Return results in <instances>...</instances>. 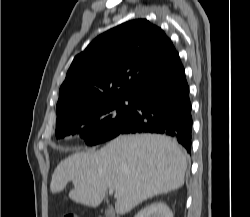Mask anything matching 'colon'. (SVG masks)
<instances>
[{
    "mask_svg": "<svg viewBox=\"0 0 250 217\" xmlns=\"http://www.w3.org/2000/svg\"><path fill=\"white\" fill-rule=\"evenodd\" d=\"M63 217H76V215H74L72 213H66V214H64Z\"/></svg>",
    "mask_w": 250,
    "mask_h": 217,
    "instance_id": "5ec220e1",
    "label": "colon"
}]
</instances>
